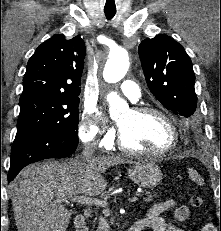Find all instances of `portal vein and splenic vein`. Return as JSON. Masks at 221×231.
Listing matches in <instances>:
<instances>
[{"label":"portal vein and splenic vein","instance_id":"1","mask_svg":"<svg viewBox=\"0 0 221 231\" xmlns=\"http://www.w3.org/2000/svg\"><path fill=\"white\" fill-rule=\"evenodd\" d=\"M139 198L138 195H133L131 197L128 198V201L129 202H135L137 201ZM63 202H66V203H80V204H85V205H96V206H103L105 207L107 205V203L105 201H101L99 199H93L91 197H87V196H84V195H80V196H75L73 198H70V199H63L62 200Z\"/></svg>","mask_w":221,"mask_h":231}]
</instances>
